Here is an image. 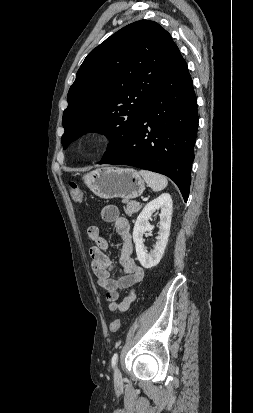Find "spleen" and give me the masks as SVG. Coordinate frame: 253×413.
Segmentation results:
<instances>
[{
	"instance_id": "obj_1",
	"label": "spleen",
	"mask_w": 253,
	"mask_h": 413,
	"mask_svg": "<svg viewBox=\"0 0 253 413\" xmlns=\"http://www.w3.org/2000/svg\"><path fill=\"white\" fill-rule=\"evenodd\" d=\"M139 174L144 178L147 185L155 192L163 190L168 184L166 177L161 174L147 170H140Z\"/></svg>"
}]
</instances>
